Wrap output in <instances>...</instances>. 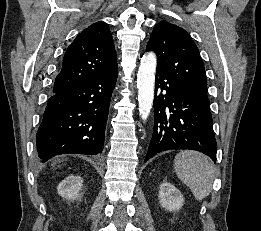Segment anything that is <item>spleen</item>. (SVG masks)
<instances>
[{"instance_id":"obj_1","label":"spleen","mask_w":261,"mask_h":231,"mask_svg":"<svg viewBox=\"0 0 261 231\" xmlns=\"http://www.w3.org/2000/svg\"><path fill=\"white\" fill-rule=\"evenodd\" d=\"M174 168L179 179L192 191L197 200L208 196L212 189L215 167L203 154L182 151L174 159Z\"/></svg>"}]
</instances>
